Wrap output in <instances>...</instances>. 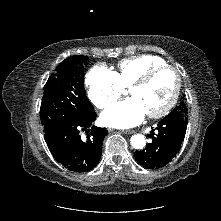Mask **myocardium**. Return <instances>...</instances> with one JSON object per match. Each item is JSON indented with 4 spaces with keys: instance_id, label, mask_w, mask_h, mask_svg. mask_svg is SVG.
<instances>
[{
    "instance_id": "1",
    "label": "myocardium",
    "mask_w": 221,
    "mask_h": 221,
    "mask_svg": "<svg viewBox=\"0 0 221 221\" xmlns=\"http://www.w3.org/2000/svg\"><path fill=\"white\" fill-rule=\"evenodd\" d=\"M164 70H170L175 74L176 77V84L173 91V94L170 98V100L167 102V104L161 108L160 110L152 113H147V116L151 119H158L165 115H167L173 107L176 105L178 98L180 96L181 92V86H182V78L179 73V71L172 65L164 64L152 67L148 69L144 74H142L131 86L129 90H132L134 88H139L145 86L149 81L159 72Z\"/></svg>"
}]
</instances>
